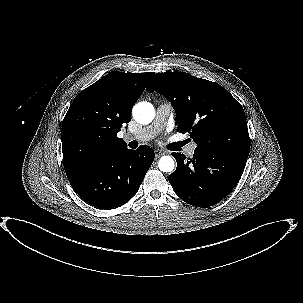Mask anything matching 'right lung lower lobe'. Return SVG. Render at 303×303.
<instances>
[{
  "label": "right lung lower lobe",
  "mask_w": 303,
  "mask_h": 303,
  "mask_svg": "<svg viewBox=\"0 0 303 303\" xmlns=\"http://www.w3.org/2000/svg\"><path fill=\"white\" fill-rule=\"evenodd\" d=\"M154 160V151L145 145L124 149L69 178L74 191L99 209H115L138 191Z\"/></svg>",
  "instance_id": "right-lung-lower-lobe-1"
}]
</instances>
